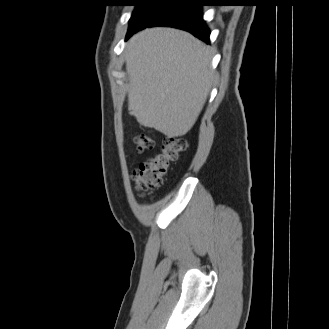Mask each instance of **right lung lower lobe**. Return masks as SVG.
Wrapping results in <instances>:
<instances>
[{
    "label": "right lung lower lobe",
    "mask_w": 329,
    "mask_h": 329,
    "mask_svg": "<svg viewBox=\"0 0 329 329\" xmlns=\"http://www.w3.org/2000/svg\"><path fill=\"white\" fill-rule=\"evenodd\" d=\"M200 7L196 4V0H179L165 8L148 25L131 31L126 38L146 27L168 26L188 31L195 37L209 43L210 32L202 19Z\"/></svg>",
    "instance_id": "right-lung-lower-lobe-1"
}]
</instances>
